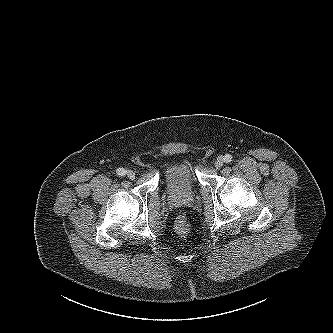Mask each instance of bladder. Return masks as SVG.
I'll use <instances>...</instances> for the list:
<instances>
[{"label":"bladder","mask_w":333,"mask_h":333,"mask_svg":"<svg viewBox=\"0 0 333 333\" xmlns=\"http://www.w3.org/2000/svg\"><path fill=\"white\" fill-rule=\"evenodd\" d=\"M162 175L165 187L170 193H188L197 183L194 161L187 157L167 164Z\"/></svg>","instance_id":"1"}]
</instances>
